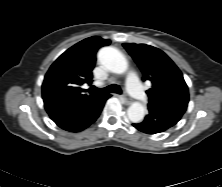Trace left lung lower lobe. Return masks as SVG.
<instances>
[{
    "label": "left lung lower lobe",
    "mask_w": 222,
    "mask_h": 187,
    "mask_svg": "<svg viewBox=\"0 0 222 187\" xmlns=\"http://www.w3.org/2000/svg\"><path fill=\"white\" fill-rule=\"evenodd\" d=\"M188 103L160 102L148 104V114L142 122L133 124L147 134H157L175 125L187 109Z\"/></svg>",
    "instance_id": "obj_1"
}]
</instances>
